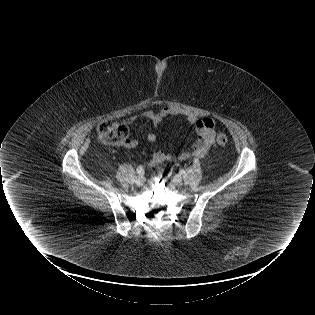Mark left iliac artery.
Segmentation results:
<instances>
[{"label": "left iliac artery", "mask_w": 315, "mask_h": 315, "mask_svg": "<svg viewBox=\"0 0 315 315\" xmlns=\"http://www.w3.org/2000/svg\"><path fill=\"white\" fill-rule=\"evenodd\" d=\"M198 162H199L198 159H195V160H194V163H195V164H197ZM180 173H181V174H184L185 171H184V170H181Z\"/></svg>", "instance_id": "obj_1"}]
</instances>
